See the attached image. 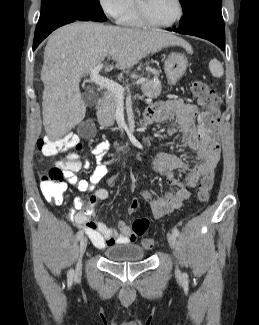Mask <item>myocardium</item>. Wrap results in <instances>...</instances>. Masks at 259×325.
Returning <instances> with one entry per match:
<instances>
[{"label": "myocardium", "instance_id": "obj_1", "mask_svg": "<svg viewBox=\"0 0 259 325\" xmlns=\"http://www.w3.org/2000/svg\"><path fill=\"white\" fill-rule=\"evenodd\" d=\"M174 1L177 6L176 16L170 22L157 23V22L152 21L146 15L141 0H136V11H137V14H138L139 19L141 20L142 24H144L148 27L161 28V29L170 28V27L174 26L175 24H177L183 17L184 7H183V3L181 0H174Z\"/></svg>", "mask_w": 259, "mask_h": 325}]
</instances>
